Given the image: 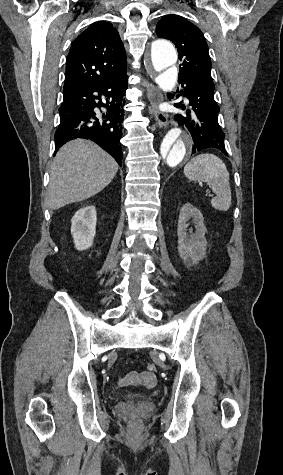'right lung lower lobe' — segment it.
<instances>
[{
    "label": "right lung lower lobe",
    "instance_id": "98d812e1",
    "mask_svg": "<svg viewBox=\"0 0 283 475\" xmlns=\"http://www.w3.org/2000/svg\"><path fill=\"white\" fill-rule=\"evenodd\" d=\"M127 74L104 82L81 83L64 88L59 108L60 124L55 132V150L66 142L84 138L101 146L122 164L120 139ZM105 108L99 112L97 108Z\"/></svg>",
    "mask_w": 283,
    "mask_h": 475
}]
</instances>
